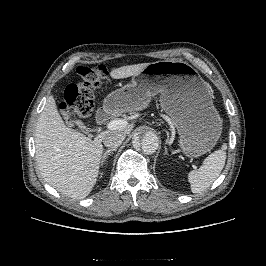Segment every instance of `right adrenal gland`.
Instances as JSON below:
<instances>
[{"label":"right adrenal gland","mask_w":266,"mask_h":266,"mask_svg":"<svg viewBox=\"0 0 266 266\" xmlns=\"http://www.w3.org/2000/svg\"><path fill=\"white\" fill-rule=\"evenodd\" d=\"M116 150H117L116 148H112V149L107 150V151L104 153V155L102 156L101 165H103V164L106 162L107 157H108L113 151H116Z\"/></svg>","instance_id":"2a0ac1e0"}]
</instances>
